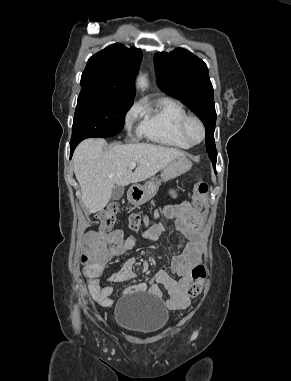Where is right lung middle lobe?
I'll list each match as a JSON object with an SVG mask.
<instances>
[{"mask_svg":"<svg viewBox=\"0 0 291 381\" xmlns=\"http://www.w3.org/2000/svg\"><path fill=\"white\" fill-rule=\"evenodd\" d=\"M133 100L108 93L81 91L72 126V143L86 138L112 137L124 125L126 111Z\"/></svg>","mask_w":291,"mask_h":381,"instance_id":"1","label":"right lung middle lobe"}]
</instances>
